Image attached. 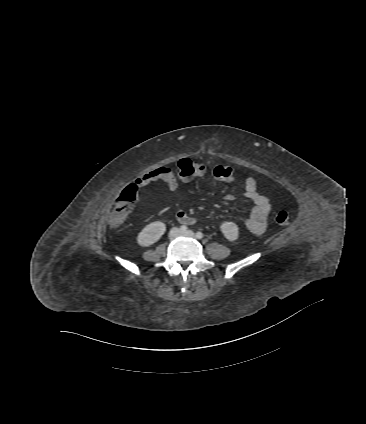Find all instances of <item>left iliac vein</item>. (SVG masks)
I'll return each instance as SVG.
<instances>
[{
	"label": "left iliac vein",
	"instance_id": "obj_1",
	"mask_svg": "<svg viewBox=\"0 0 366 424\" xmlns=\"http://www.w3.org/2000/svg\"><path fill=\"white\" fill-rule=\"evenodd\" d=\"M181 236H184V237H195V234H194V232L193 231H191V230H188V231H186V232H181V234H180Z\"/></svg>",
	"mask_w": 366,
	"mask_h": 424
}]
</instances>
